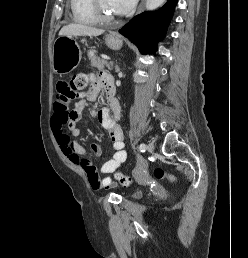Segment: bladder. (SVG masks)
I'll use <instances>...</instances> for the list:
<instances>
[{
  "label": "bladder",
  "mask_w": 248,
  "mask_h": 258,
  "mask_svg": "<svg viewBox=\"0 0 248 258\" xmlns=\"http://www.w3.org/2000/svg\"><path fill=\"white\" fill-rule=\"evenodd\" d=\"M143 195H144V193H143V191H141V190H135V191L131 194L132 198H134V199L142 198Z\"/></svg>",
  "instance_id": "1"
}]
</instances>
